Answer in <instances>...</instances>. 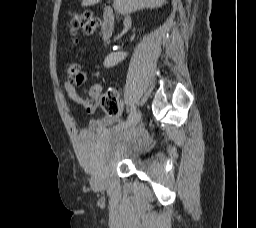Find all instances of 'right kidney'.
Here are the masks:
<instances>
[{"instance_id":"obj_1","label":"right kidney","mask_w":256,"mask_h":228,"mask_svg":"<svg viewBox=\"0 0 256 228\" xmlns=\"http://www.w3.org/2000/svg\"><path fill=\"white\" fill-rule=\"evenodd\" d=\"M127 57V53L123 52H113L110 53L104 60V66L106 68L113 67L119 62L123 61Z\"/></svg>"}]
</instances>
